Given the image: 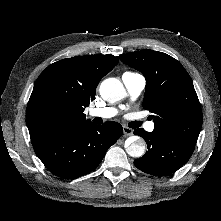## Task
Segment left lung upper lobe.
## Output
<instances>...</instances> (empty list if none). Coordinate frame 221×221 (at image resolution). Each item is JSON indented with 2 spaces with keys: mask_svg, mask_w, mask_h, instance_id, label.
<instances>
[{
  "mask_svg": "<svg viewBox=\"0 0 221 221\" xmlns=\"http://www.w3.org/2000/svg\"><path fill=\"white\" fill-rule=\"evenodd\" d=\"M119 57L146 79L142 105L154 114V131L195 145L202 126V110L185 68L168 54L149 49Z\"/></svg>",
  "mask_w": 221,
  "mask_h": 221,
  "instance_id": "5c2ea615",
  "label": "left lung upper lobe"
}]
</instances>
